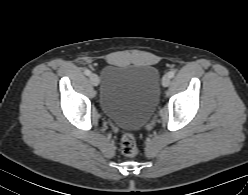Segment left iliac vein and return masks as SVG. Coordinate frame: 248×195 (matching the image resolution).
Masks as SVG:
<instances>
[{"label": "left iliac vein", "instance_id": "4c4485c4", "mask_svg": "<svg viewBox=\"0 0 248 195\" xmlns=\"http://www.w3.org/2000/svg\"><path fill=\"white\" fill-rule=\"evenodd\" d=\"M170 82H171L170 77L168 75H164L162 78V85L164 87H167L169 86Z\"/></svg>", "mask_w": 248, "mask_h": 195}]
</instances>
